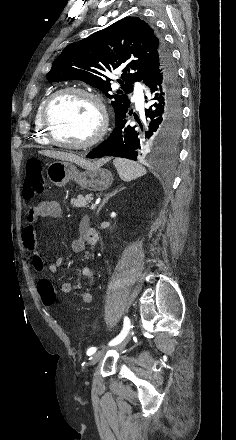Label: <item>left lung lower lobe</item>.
<instances>
[{
  "label": "left lung lower lobe",
  "mask_w": 236,
  "mask_h": 440,
  "mask_svg": "<svg viewBox=\"0 0 236 440\" xmlns=\"http://www.w3.org/2000/svg\"><path fill=\"white\" fill-rule=\"evenodd\" d=\"M142 82L150 89L142 123L130 125L127 111L116 117V127L107 140L87 158L116 156L136 160L144 151L171 147L180 133L181 92L175 64L170 53H162L148 66Z\"/></svg>",
  "instance_id": "left-lung-lower-lobe-1"
}]
</instances>
